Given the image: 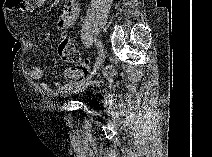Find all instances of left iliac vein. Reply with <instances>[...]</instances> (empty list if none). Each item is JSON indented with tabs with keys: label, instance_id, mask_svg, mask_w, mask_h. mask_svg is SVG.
Here are the masks:
<instances>
[{
	"label": "left iliac vein",
	"instance_id": "obj_1",
	"mask_svg": "<svg viewBox=\"0 0 212 157\" xmlns=\"http://www.w3.org/2000/svg\"><path fill=\"white\" fill-rule=\"evenodd\" d=\"M106 51L103 50L102 52H100L99 57L97 58V62L95 64V67L93 69V71L91 72L89 78L87 79V82L94 76V74L96 73V70L104 63L105 59H106Z\"/></svg>",
	"mask_w": 212,
	"mask_h": 157
}]
</instances>
